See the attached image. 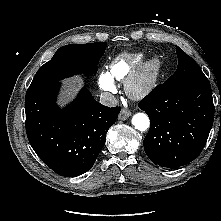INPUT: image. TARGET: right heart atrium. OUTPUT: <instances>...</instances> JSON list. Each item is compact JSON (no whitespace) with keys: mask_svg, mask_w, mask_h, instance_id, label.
<instances>
[{"mask_svg":"<svg viewBox=\"0 0 221 221\" xmlns=\"http://www.w3.org/2000/svg\"><path fill=\"white\" fill-rule=\"evenodd\" d=\"M98 84L100 88L106 93H114L116 85L110 72L102 71L98 76Z\"/></svg>","mask_w":221,"mask_h":221,"instance_id":"obj_1","label":"right heart atrium"}]
</instances>
